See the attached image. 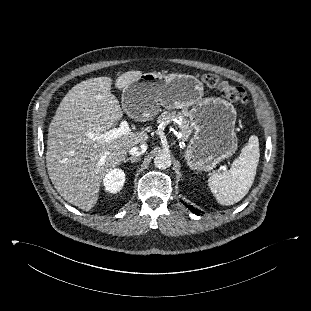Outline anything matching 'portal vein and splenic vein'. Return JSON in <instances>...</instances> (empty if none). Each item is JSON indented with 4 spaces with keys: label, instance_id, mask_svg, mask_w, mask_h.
<instances>
[{
    "label": "portal vein and splenic vein",
    "instance_id": "1",
    "mask_svg": "<svg viewBox=\"0 0 311 311\" xmlns=\"http://www.w3.org/2000/svg\"><path fill=\"white\" fill-rule=\"evenodd\" d=\"M128 133H130V128H129L128 122L127 121H121L119 128H114L110 131H107V132L101 134V135L95 136V139L110 141L112 139L121 137V136L128 134ZM221 169L225 170V167H222Z\"/></svg>",
    "mask_w": 311,
    "mask_h": 311
}]
</instances>
